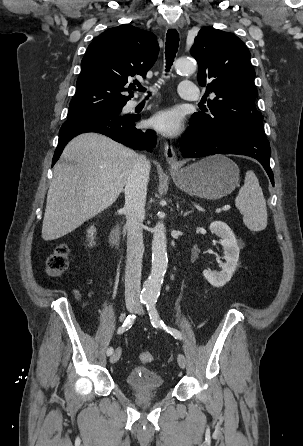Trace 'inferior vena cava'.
I'll return each instance as SVG.
<instances>
[{"label": "inferior vena cava", "mask_w": 303, "mask_h": 446, "mask_svg": "<svg viewBox=\"0 0 303 446\" xmlns=\"http://www.w3.org/2000/svg\"><path fill=\"white\" fill-rule=\"evenodd\" d=\"M150 163L138 156L125 186V214L127 230V260L125 269V300L138 302L140 298L141 266L144 252L143 220Z\"/></svg>", "instance_id": "1"}]
</instances>
